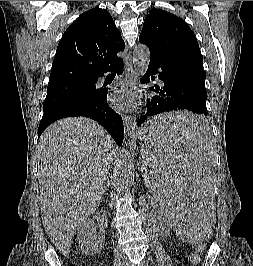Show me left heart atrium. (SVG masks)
I'll return each instance as SVG.
<instances>
[{"mask_svg": "<svg viewBox=\"0 0 253 266\" xmlns=\"http://www.w3.org/2000/svg\"><path fill=\"white\" fill-rule=\"evenodd\" d=\"M109 100L117 109L132 110L138 103V95L131 86L127 85L113 90Z\"/></svg>", "mask_w": 253, "mask_h": 266, "instance_id": "39dd6f15", "label": "left heart atrium"}]
</instances>
